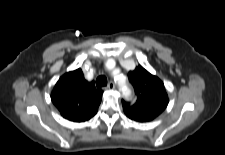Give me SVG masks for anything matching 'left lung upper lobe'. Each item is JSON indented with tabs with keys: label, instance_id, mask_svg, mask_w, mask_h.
<instances>
[{
	"label": "left lung upper lobe",
	"instance_id": "left-lung-upper-lobe-1",
	"mask_svg": "<svg viewBox=\"0 0 225 155\" xmlns=\"http://www.w3.org/2000/svg\"><path fill=\"white\" fill-rule=\"evenodd\" d=\"M128 78L135 89V103L122 101L127 117L138 122H148L159 116L168 105V96L162 81L141 65L128 73Z\"/></svg>",
	"mask_w": 225,
	"mask_h": 155
}]
</instances>
